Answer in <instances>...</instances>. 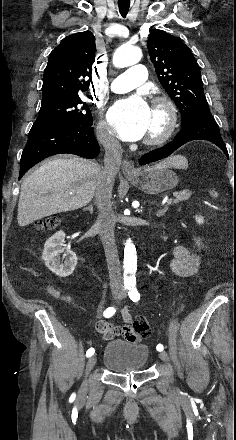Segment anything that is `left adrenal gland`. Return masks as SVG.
Wrapping results in <instances>:
<instances>
[{"mask_svg":"<svg viewBox=\"0 0 236 440\" xmlns=\"http://www.w3.org/2000/svg\"><path fill=\"white\" fill-rule=\"evenodd\" d=\"M167 209H168V206H166L165 208H163V209L157 211V214H156V215H157L158 217L163 216V215L166 213Z\"/></svg>","mask_w":236,"mask_h":440,"instance_id":"obj_1","label":"left adrenal gland"}]
</instances>
